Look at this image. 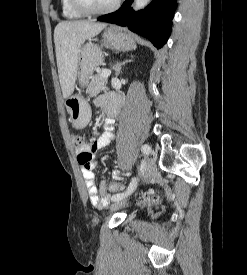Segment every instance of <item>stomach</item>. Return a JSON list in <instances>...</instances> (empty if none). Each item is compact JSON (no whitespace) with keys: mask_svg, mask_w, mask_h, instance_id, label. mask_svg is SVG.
I'll return each instance as SVG.
<instances>
[{"mask_svg":"<svg viewBox=\"0 0 247 275\" xmlns=\"http://www.w3.org/2000/svg\"><path fill=\"white\" fill-rule=\"evenodd\" d=\"M105 46L119 51H130L136 48L134 40L117 27H110L103 33ZM104 59L101 48L89 41L84 44L78 55V71L76 78L81 87H86L94 68L102 64ZM72 125L77 129L86 127L91 119L88 103L80 95H71L65 100Z\"/></svg>","mask_w":247,"mask_h":275,"instance_id":"0dacf381","label":"stomach"}]
</instances>
